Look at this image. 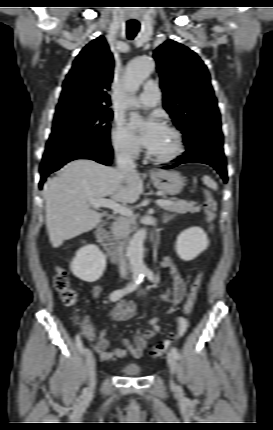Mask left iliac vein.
I'll return each mask as SVG.
<instances>
[{
	"label": "left iliac vein",
	"instance_id": "left-iliac-vein-1",
	"mask_svg": "<svg viewBox=\"0 0 273 430\" xmlns=\"http://www.w3.org/2000/svg\"><path fill=\"white\" fill-rule=\"evenodd\" d=\"M167 362H168L171 373L174 374L175 370H176V358L171 351L167 355ZM171 386H172V388L176 387V385L174 384L173 381H171Z\"/></svg>",
	"mask_w": 273,
	"mask_h": 430
}]
</instances>
